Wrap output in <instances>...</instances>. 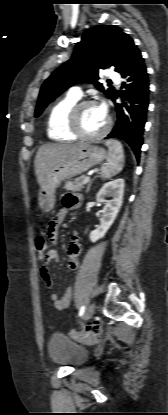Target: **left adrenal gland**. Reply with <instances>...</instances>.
I'll use <instances>...</instances> for the list:
<instances>
[{
	"label": "left adrenal gland",
	"instance_id": "obj_1",
	"mask_svg": "<svg viewBox=\"0 0 168 415\" xmlns=\"http://www.w3.org/2000/svg\"><path fill=\"white\" fill-rule=\"evenodd\" d=\"M92 181H93V180H91V181L89 182L88 187H87V190H86V193H88V192H89L90 187H91V185H92Z\"/></svg>",
	"mask_w": 168,
	"mask_h": 415
}]
</instances>
